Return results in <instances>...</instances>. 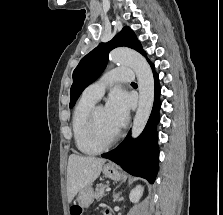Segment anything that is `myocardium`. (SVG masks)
Returning a JSON list of instances; mask_svg holds the SVG:
<instances>
[{"mask_svg": "<svg viewBox=\"0 0 223 215\" xmlns=\"http://www.w3.org/2000/svg\"><path fill=\"white\" fill-rule=\"evenodd\" d=\"M102 106H94L88 122V136L92 145L99 151H105L114 147L120 140V130L118 129L115 137L109 142H103L98 131L97 113Z\"/></svg>", "mask_w": 223, "mask_h": 215, "instance_id": "f54148a6", "label": "myocardium"}]
</instances>
